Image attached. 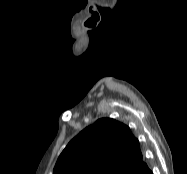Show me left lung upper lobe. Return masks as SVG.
<instances>
[{"label":"left lung upper lobe","mask_w":187,"mask_h":174,"mask_svg":"<svg viewBox=\"0 0 187 174\" xmlns=\"http://www.w3.org/2000/svg\"><path fill=\"white\" fill-rule=\"evenodd\" d=\"M146 167L139 141L129 127L102 118L69 142L53 174H134Z\"/></svg>","instance_id":"obj_1"}]
</instances>
